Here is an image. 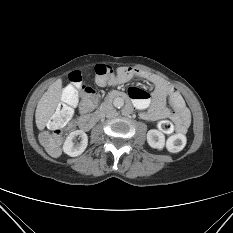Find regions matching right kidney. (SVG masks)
<instances>
[{"label":"right kidney","mask_w":233,"mask_h":233,"mask_svg":"<svg viewBox=\"0 0 233 233\" xmlns=\"http://www.w3.org/2000/svg\"><path fill=\"white\" fill-rule=\"evenodd\" d=\"M76 137H79L80 142L75 143ZM88 145V136L83 130H75L71 132L63 144L65 154L76 157L81 155Z\"/></svg>","instance_id":"obj_1"}]
</instances>
